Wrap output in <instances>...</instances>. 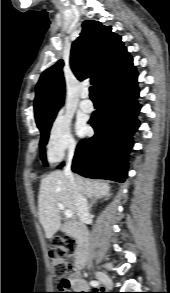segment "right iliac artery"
Here are the masks:
<instances>
[{
  "instance_id": "right-iliac-artery-1",
  "label": "right iliac artery",
  "mask_w": 170,
  "mask_h": 293,
  "mask_svg": "<svg viewBox=\"0 0 170 293\" xmlns=\"http://www.w3.org/2000/svg\"><path fill=\"white\" fill-rule=\"evenodd\" d=\"M90 285L93 286V287H97V286L100 285V282L97 281V280H92V281L90 282Z\"/></svg>"
}]
</instances>
